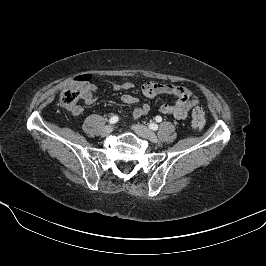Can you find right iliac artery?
I'll return each mask as SVG.
<instances>
[{"label":"right iliac artery","mask_w":266,"mask_h":266,"mask_svg":"<svg viewBox=\"0 0 266 266\" xmlns=\"http://www.w3.org/2000/svg\"><path fill=\"white\" fill-rule=\"evenodd\" d=\"M118 120H119V117H118V116H112V117L110 118V120H109V123H110V124H115V123L118 122Z\"/></svg>","instance_id":"obj_1"}]
</instances>
